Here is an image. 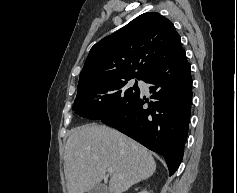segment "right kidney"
Listing matches in <instances>:
<instances>
[{
    "instance_id": "1",
    "label": "right kidney",
    "mask_w": 237,
    "mask_h": 193,
    "mask_svg": "<svg viewBox=\"0 0 237 193\" xmlns=\"http://www.w3.org/2000/svg\"><path fill=\"white\" fill-rule=\"evenodd\" d=\"M139 193H149V192L146 191V190H143V191H141V192H139Z\"/></svg>"
}]
</instances>
